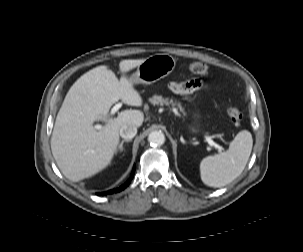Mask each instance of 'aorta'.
Segmentation results:
<instances>
[{
	"mask_svg": "<svg viewBox=\"0 0 303 252\" xmlns=\"http://www.w3.org/2000/svg\"><path fill=\"white\" fill-rule=\"evenodd\" d=\"M148 142L152 146H161L165 142V135L162 131H152L148 136Z\"/></svg>",
	"mask_w": 303,
	"mask_h": 252,
	"instance_id": "762f6f07",
	"label": "aorta"
}]
</instances>
